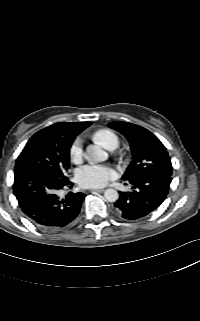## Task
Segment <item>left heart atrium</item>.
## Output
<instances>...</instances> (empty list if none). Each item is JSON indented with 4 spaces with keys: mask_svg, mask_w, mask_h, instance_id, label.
<instances>
[{
    "mask_svg": "<svg viewBox=\"0 0 200 321\" xmlns=\"http://www.w3.org/2000/svg\"><path fill=\"white\" fill-rule=\"evenodd\" d=\"M115 176L116 173L110 166L99 164L86 165L77 173L79 184L87 188L102 187Z\"/></svg>",
    "mask_w": 200,
    "mask_h": 321,
    "instance_id": "left-heart-atrium-1",
    "label": "left heart atrium"
}]
</instances>
